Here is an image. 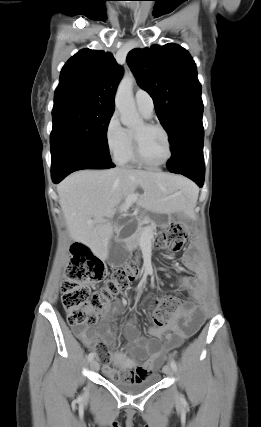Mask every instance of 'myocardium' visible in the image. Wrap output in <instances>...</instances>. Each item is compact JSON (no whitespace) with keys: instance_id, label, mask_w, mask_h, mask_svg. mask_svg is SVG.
Returning a JSON list of instances; mask_svg holds the SVG:
<instances>
[{"instance_id":"myocardium-1","label":"myocardium","mask_w":261,"mask_h":427,"mask_svg":"<svg viewBox=\"0 0 261 427\" xmlns=\"http://www.w3.org/2000/svg\"><path fill=\"white\" fill-rule=\"evenodd\" d=\"M144 126L147 129H158L160 131H162V133L164 134L166 141H167V145H168V156L167 158L158 164H152L149 163L148 161H146V159L144 158L142 151H141V146H140V141H139V137L137 136V134H135L134 132L132 133V139H133V153L135 156L136 161L146 167V168H150V169H159L164 167L173 157V145H172V141H171V137L169 132L167 131V129L159 124V123H155V122H145L143 123Z\"/></svg>"}]
</instances>
